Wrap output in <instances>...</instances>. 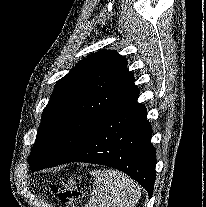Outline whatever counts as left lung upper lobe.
I'll return each mask as SVG.
<instances>
[{
    "label": "left lung upper lobe",
    "instance_id": "left-lung-upper-lobe-1",
    "mask_svg": "<svg viewBox=\"0 0 206 207\" xmlns=\"http://www.w3.org/2000/svg\"><path fill=\"white\" fill-rule=\"evenodd\" d=\"M133 83L126 58L116 51H98L81 60L57 81L43 110L28 157L31 166L42 169L72 155L100 117Z\"/></svg>",
    "mask_w": 206,
    "mask_h": 207
}]
</instances>
